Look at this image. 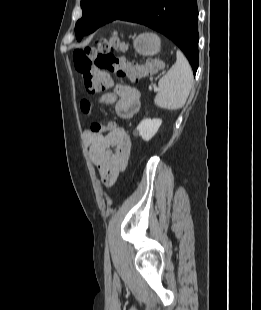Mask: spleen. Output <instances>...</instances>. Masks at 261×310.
<instances>
[{"mask_svg":"<svg viewBox=\"0 0 261 310\" xmlns=\"http://www.w3.org/2000/svg\"><path fill=\"white\" fill-rule=\"evenodd\" d=\"M176 57V63L159 80V91L154 99L158 107L168 110H177L185 105L193 84L189 62L181 51H177Z\"/></svg>","mask_w":261,"mask_h":310,"instance_id":"1","label":"spleen"}]
</instances>
